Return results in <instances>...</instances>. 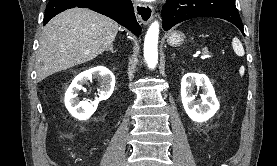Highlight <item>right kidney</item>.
Instances as JSON below:
<instances>
[{
  "mask_svg": "<svg viewBox=\"0 0 277 166\" xmlns=\"http://www.w3.org/2000/svg\"><path fill=\"white\" fill-rule=\"evenodd\" d=\"M92 78L98 79L100 83L99 98L93 102L79 101L78 91L83 89V84ZM115 87V77L105 67H96L80 73L72 81L65 93V106L70 114L79 120H86L97 109L98 103L108 99Z\"/></svg>",
  "mask_w": 277,
  "mask_h": 166,
  "instance_id": "obj_1",
  "label": "right kidney"
}]
</instances>
